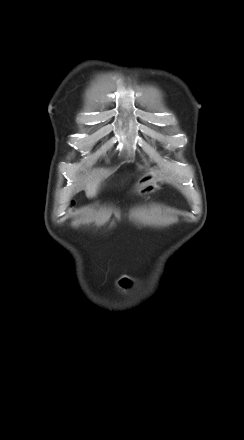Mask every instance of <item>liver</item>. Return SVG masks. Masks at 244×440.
<instances>
[{
	"label": "liver",
	"instance_id": "obj_1",
	"mask_svg": "<svg viewBox=\"0 0 244 440\" xmlns=\"http://www.w3.org/2000/svg\"><path fill=\"white\" fill-rule=\"evenodd\" d=\"M99 185H100V180H98V179H94V180L88 179V181H86L85 188H84L86 196L88 198L94 197L97 194ZM78 191H79V189H78Z\"/></svg>",
	"mask_w": 244,
	"mask_h": 440
}]
</instances>
